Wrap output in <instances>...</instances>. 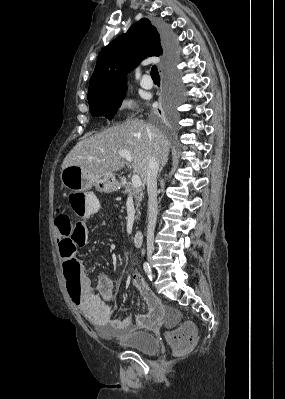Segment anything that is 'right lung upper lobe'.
I'll list each match as a JSON object with an SVG mask.
<instances>
[{
    "label": "right lung upper lobe",
    "mask_w": 285,
    "mask_h": 399,
    "mask_svg": "<svg viewBox=\"0 0 285 399\" xmlns=\"http://www.w3.org/2000/svg\"><path fill=\"white\" fill-rule=\"evenodd\" d=\"M162 38L150 20L142 18L104 47L90 78L88 100L126 90V74L147 56L162 54Z\"/></svg>",
    "instance_id": "obj_1"
}]
</instances>
